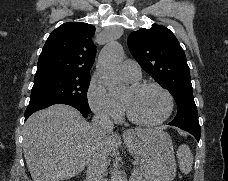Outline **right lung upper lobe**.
Masks as SVG:
<instances>
[{"instance_id": "right-lung-upper-lobe-1", "label": "right lung upper lobe", "mask_w": 228, "mask_h": 181, "mask_svg": "<svg viewBox=\"0 0 228 181\" xmlns=\"http://www.w3.org/2000/svg\"><path fill=\"white\" fill-rule=\"evenodd\" d=\"M95 27L83 22H67L52 31L39 56L35 77L61 74L90 77L96 47Z\"/></svg>"}]
</instances>
